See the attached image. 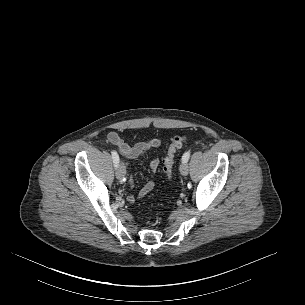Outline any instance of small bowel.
Listing matches in <instances>:
<instances>
[{"label":"small bowel","mask_w":305,"mask_h":305,"mask_svg":"<svg viewBox=\"0 0 305 305\" xmlns=\"http://www.w3.org/2000/svg\"><path fill=\"white\" fill-rule=\"evenodd\" d=\"M107 140L113 145L118 152L127 159H139L143 157L148 150L151 148H159L161 146V140L158 138H152L146 141H140L133 145L125 142L121 136L112 131L107 134ZM160 166V159L155 157L150 162V169L153 173L157 172ZM130 183L133 184V179H130ZM155 186L153 181L147 182L138 192L137 196L127 195V200L131 203L135 202L136 199L143 198L146 196Z\"/></svg>","instance_id":"1"}]
</instances>
